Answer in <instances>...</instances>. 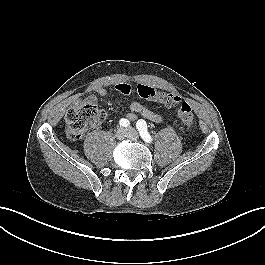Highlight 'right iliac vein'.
Wrapping results in <instances>:
<instances>
[{"mask_svg":"<svg viewBox=\"0 0 265 265\" xmlns=\"http://www.w3.org/2000/svg\"><path fill=\"white\" fill-rule=\"evenodd\" d=\"M115 136L117 139L119 140H122L124 139L125 137L128 136V131L124 128H119L116 133H115Z\"/></svg>","mask_w":265,"mask_h":265,"instance_id":"right-iliac-vein-1","label":"right iliac vein"}]
</instances>
